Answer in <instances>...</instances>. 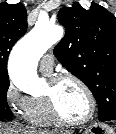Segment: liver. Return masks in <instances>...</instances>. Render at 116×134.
I'll use <instances>...</instances> for the list:
<instances>
[{
    "label": "liver",
    "mask_w": 116,
    "mask_h": 134,
    "mask_svg": "<svg viewBox=\"0 0 116 134\" xmlns=\"http://www.w3.org/2000/svg\"><path fill=\"white\" fill-rule=\"evenodd\" d=\"M0 134H48L47 132H38L32 128L20 126H7L0 122Z\"/></svg>",
    "instance_id": "6515ba94"
}]
</instances>
